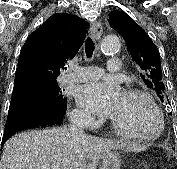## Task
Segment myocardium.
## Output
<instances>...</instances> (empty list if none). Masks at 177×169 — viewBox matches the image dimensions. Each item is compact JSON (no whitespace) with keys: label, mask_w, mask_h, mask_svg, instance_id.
Segmentation results:
<instances>
[{"label":"myocardium","mask_w":177,"mask_h":169,"mask_svg":"<svg viewBox=\"0 0 177 169\" xmlns=\"http://www.w3.org/2000/svg\"><path fill=\"white\" fill-rule=\"evenodd\" d=\"M123 94L127 96H137V97H141L145 99L150 104V106L154 109V111L156 112L158 116L159 128L154 133H132L124 129L119 123H117L113 118H111V125L114 131L128 138L147 140V141L153 140L159 137L164 131L165 120H164V115H163L161 108L155 102L153 97L147 91L140 89V88H136V87L127 88Z\"/></svg>","instance_id":"obj_1"}]
</instances>
